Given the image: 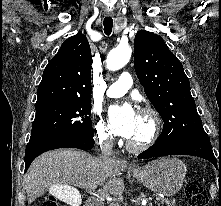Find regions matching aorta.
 <instances>
[{
    "label": "aorta",
    "instance_id": "aorta-1",
    "mask_svg": "<svg viewBox=\"0 0 221 206\" xmlns=\"http://www.w3.org/2000/svg\"><path fill=\"white\" fill-rule=\"evenodd\" d=\"M132 49L129 45L120 44L107 56V69L116 71L125 66L131 58Z\"/></svg>",
    "mask_w": 221,
    "mask_h": 206
}]
</instances>
